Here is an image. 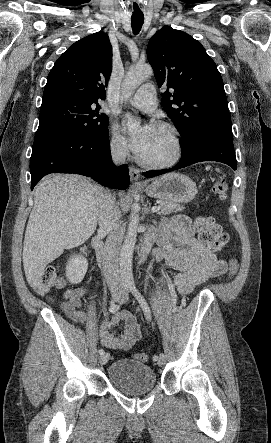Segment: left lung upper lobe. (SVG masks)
I'll list each match as a JSON object with an SVG mask.
<instances>
[{"mask_svg": "<svg viewBox=\"0 0 271 443\" xmlns=\"http://www.w3.org/2000/svg\"><path fill=\"white\" fill-rule=\"evenodd\" d=\"M147 58L158 87L167 84L161 105L182 137L180 144L203 126L231 127L221 74L200 42L164 26L150 39Z\"/></svg>", "mask_w": 271, "mask_h": 443, "instance_id": "1", "label": "left lung upper lobe"}]
</instances>
